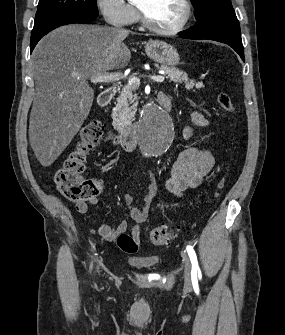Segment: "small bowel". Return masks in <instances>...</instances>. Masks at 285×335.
<instances>
[{"label": "small bowel", "instance_id": "1", "mask_svg": "<svg viewBox=\"0 0 285 335\" xmlns=\"http://www.w3.org/2000/svg\"><path fill=\"white\" fill-rule=\"evenodd\" d=\"M160 99L169 98L166 95H161ZM191 119L195 126H204L207 124L205 117L197 111L191 112ZM192 134V128L187 126L183 132L184 137L190 139ZM213 165L214 157L209 149L199 146H189L173 162L170 169V177L164 185H159L153 175H145L146 190L140 206H132V195L125 194L123 196L125 204L130 207V215L134 222L132 235L138 243L141 241L142 226L147 221L150 208L159 193L165 191L176 196L183 195L187 190L197 187L204 176L212 169ZM89 203L96 205L98 200L92 198ZM74 206L79 213L84 214L88 212L86 203H75ZM126 229L127 222L122 220L116 227H111L108 224L101 225L98 228V234L105 241L112 242L121 233H124Z\"/></svg>", "mask_w": 285, "mask_h": 335}]
</instances>
